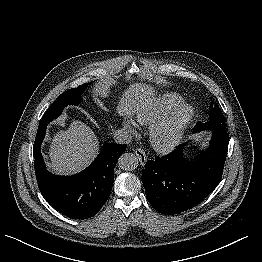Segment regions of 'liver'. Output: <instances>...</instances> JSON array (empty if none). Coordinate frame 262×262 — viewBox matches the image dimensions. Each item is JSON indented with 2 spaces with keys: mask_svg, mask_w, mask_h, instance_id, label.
I'll return each mask as SVG.
<instances>
[{
  "mask_svg": "<svg viewBox=\"0 0 262 262\" xmlns=\"http://www.w3.org/2000/svg\"><path fill=\"white\" fill-rule=\"evenodd\" d=\"M154 103L155 93L151 86L133 83L120 97L117 112L131 116L138 110L152 108ZM98 151L99 141L92 129L82 121H72L66 130H60L52 139L50 168L56 174L77 173L91 163Z\"/></svg>",
  "mask_w": 262,
  "mask_h": 262,
  "instance_id": "liver-1",
  "label": "liver"
}]
</instances>
